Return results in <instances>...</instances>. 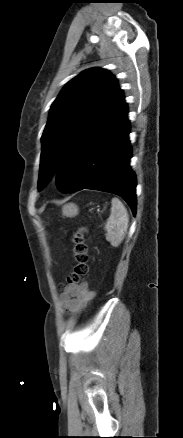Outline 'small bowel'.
Wrapping results in <instances>:
<instances>
[{
	"mask_svg": "<svg viewBox=\"0 0 183 438\" xmlns=\"http://www.w3.org/2000/svg\"><path fill=\"white\" fill-rule=\"evenodd\" d=\"M95 293L86 282L75 285H67L61 294L63 308L70 314H76L84 309L94 299Z\"/></svg>",
	"mask_w": 183,
	"mask_h": 438,
	"instance_id": "obj_1",
	"label": "small bowel"
}]
</instances>
